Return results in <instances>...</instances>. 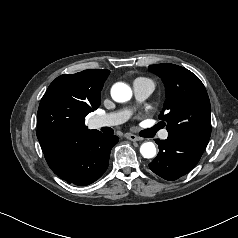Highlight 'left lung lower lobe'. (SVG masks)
<instances>
[{"label": "left lung lower lobe", "instance_id": "left-lung-lower-lobe-1", "mask_svg": "<svg viewBox=\"0 0 238 238\" xmlns=\"http://www.w3.org/2000/svg\"><path fill=\"white\" fill-rule=\"evenodd\" d=\"M155 141L159 145V153L149 167L154 173L170 181L190 172L207 146L202 141L173 133H169L166 140Z\"/></svg>", "mask_w": 238, "mask_h": 238}]
</instances>
